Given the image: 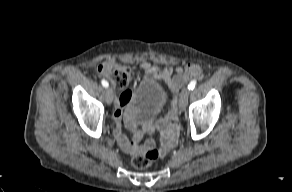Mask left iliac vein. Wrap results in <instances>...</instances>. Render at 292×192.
<instances>
[{"label":"left iliac vein","instance_id":"1","mask_svg":"<svg viewBox=\"0 0 292 192\" xmlns=\"http://www.w3.org/2000/svg\"><path fill=\"white\" fill-rule=\"evenodd\" d=\"M188 95H189V90L187 88H184L180 94L179 97V107L183 111L188 103Z\"/></svg>","mask_w":292,"mask_h":192}]
</instances>
